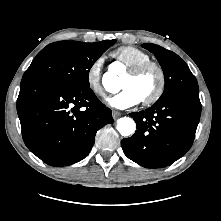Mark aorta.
<instances>
[{"label":"aorta","instance_id":"aorta-1","mask_svg":"<svg viewBox=\"0 0 221 221\" xmlns=\"http://www.w3.org/2000/svg\"><path fill=\"white\" fill-rule=\"evenodd\" d=\"M119 71L111 67L109 72H107L103 77V85L104 87L112 91H117L120 89L119 87ZM136 129V124L132 118L123 117L117 121V130L122 136H129L134 133Z\"/></svg>","mask_w":221,"mask_h":221}]
</instances>
